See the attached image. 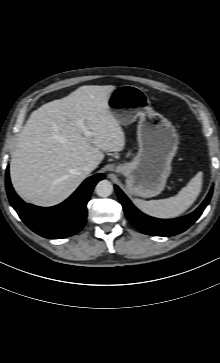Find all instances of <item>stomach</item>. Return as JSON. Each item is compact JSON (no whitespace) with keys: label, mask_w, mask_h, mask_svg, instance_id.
Returning <instances> with one entry per match:
<instances>
[{"label":"stomach","mask_w":220,"mask_h":363,"mask_svg":"<svg viewBox=\"0 0 220 363\" xmlns=\"http://www.w3.org/2000/svg\"><path fill=\"white\" fill-rule=\"evenodd\" d=\"M107 103L119 124L128 125L139 119L138 154L131 162L117 165L115 171L127 178L126 188L132 195L150 198L160 194L171 173V162L178 148L174 127L152 109L149 97L137 86L115 88Z\"/></svg>","instance_id":"obj_1"}]
</instances>
